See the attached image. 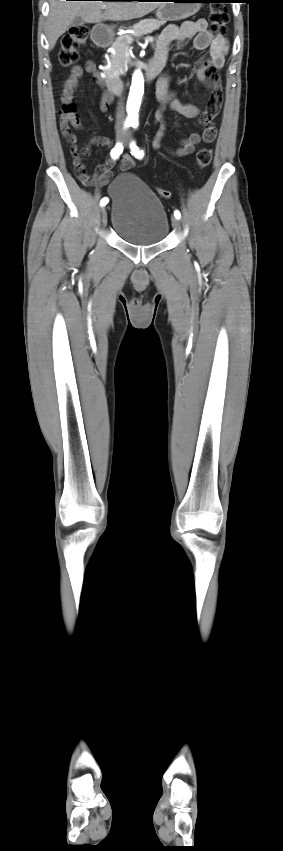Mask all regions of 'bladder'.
<instances>
[{"mask_svg": "<svg viewBox=\"0 0 283 851\" xmlns=\"http://www.w3.org/2000/svg\"><path fill=\"white\" fill-rule=\"evenodd\" d=\"M113 230L136 246L160 243L169 231V220L158 196L136 175L123 173L110 184Z\"/></svg>", "mask_w": 283, "mask_h": 851, "instance_id": "1", "label": "bladder"}]
</instances>
